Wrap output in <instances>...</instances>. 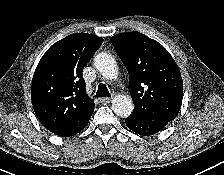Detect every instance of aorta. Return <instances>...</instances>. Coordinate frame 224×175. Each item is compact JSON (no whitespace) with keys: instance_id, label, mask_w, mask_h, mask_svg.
Returning a JSON list of instances; mask_svg holds the SVG:
<instances>
[{"instance_id":"762f6f07","label":"aorta","mask_w":224,"mask_h":175,"mask_svg":"<svg viewBox=\"0 0 224 175\" xmlns=\"http://www.w3.org/2000/svg\"><path fill=\"white\" fill-rule=\"evenodd\" d=\"M94 65L104 78L109 80L117 78V63L112 55L108 53L97 54L94 58ZM112 109L118 116L127 118L132 114L134 105L131 98L125 95H116L112 99Z\"/></svg>"}]
</instances>
